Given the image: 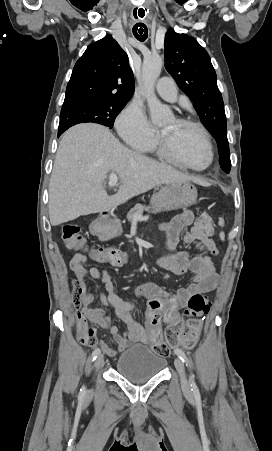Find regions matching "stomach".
I'll return each mask as SVG.
<instances>
[{
    "mask_svg": "<svg viewBox=\"0 0 272 451\" xmlns=\"http://www.w3.org/2000/svg\"><path fill=\"white\" fill-rule=\"evenodd\" d=\"M197 190L189 182H170L165 184L151 198V206L157 210H179L196 204Z\"/></svg>",
    "mask_w": 272,
    "mask_h": 451,
    "instance_id": "1",
    "label": "stomach"
}]
</instances>
